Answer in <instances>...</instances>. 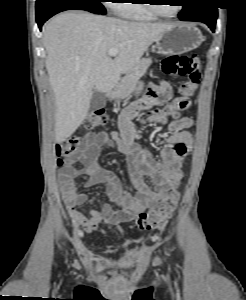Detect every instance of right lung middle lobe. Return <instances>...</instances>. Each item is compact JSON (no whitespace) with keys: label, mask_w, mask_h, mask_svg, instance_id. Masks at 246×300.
<instances>
[{"label":"right lung middle lobe","mask_w":246,"mask_h":300,"mask_svg":"<svg viewBox=\"0 0 246 300\" xmlns=\"http://www.w3.org/2000/svg\"><path fill=\"white\" fill-rule=\"evenodd\" d=\"M59 1H74L82 3L90 11H93L96 14H105L106 9L101 4L102 0H37L36 1V10L43 9L48 4L59 2Z\"/></svg>","instance_id":"right-lung-middle-lobe-1"}]
</instances>
